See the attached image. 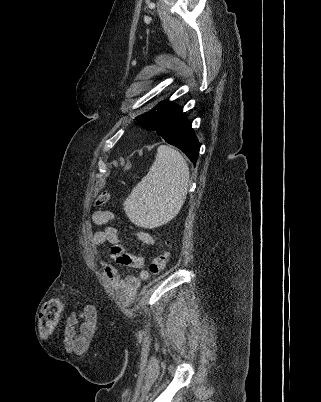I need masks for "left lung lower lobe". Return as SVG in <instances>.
Instances as JSON below:
<instances>
[{
  "mask_svg": "<svg viewBox=\"0 0 321 402\" xmlns=\"http://www.w3.org/2000/svg\"><path fill=\"white\" fill-rule=\"evenodd\" d=\"M155 132L165 141L181 149L195 165L200 144L191 128V122L182 107L171 101H163L156 121Z\"/></svg>",
  "mask_w": 321,
  "mask_h": 402,
  "instance_id": "obj_1",
  "label": "left lung lower lobe"
}]
</instances>
